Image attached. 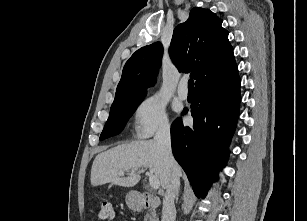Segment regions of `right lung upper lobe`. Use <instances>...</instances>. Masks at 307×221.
<instances>
[{
  "instance_id": "cb5924a9",
  "label": "right lung upper lobe",
  "mask_w": 307,
  "mask_h": 221,
  "mask_svg": "<svg viewBox=\"0 0 307 221\" xmlns=\"http://www.w3.org/2000/svg\"><path fill=\"white\" fill-rule=\"evenodd\" d=\"M221 23L210 10L194 8L188 20L174 29L170 57L180 72H191L196 93L239 78L229 32ZM162 54L159 42L137 50L123 68L113 103L146 93L155 83Z\"/></svg>"
}]
</instances>
